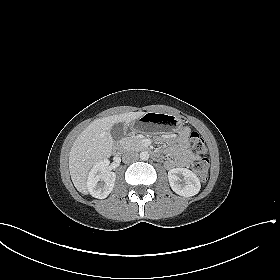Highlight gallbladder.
<instances>
[{"label":"gallbladder","instance_id":"gallbladder-1","mask_svg":"<svg viewBox=\"0 0 280 280\" xmlns=\"http://www.w3.org/2000/svg\"><path fill=\"white\" fill-rule=\"evenodd\" d=\"M111 136L115 142L120 141L125 135L124 123H115L110 130Z\"/></svg>","mask_w":280,"mask_h":280}]
</instances>
